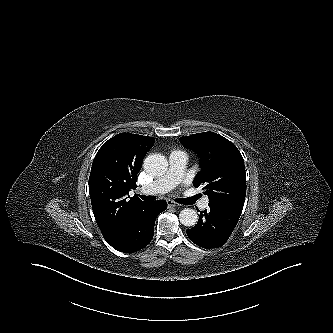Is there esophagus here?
Wrapping results in <instances>:
<instances>
[{
  "mask_svg": "<svg viewBox=\"0 0 333 333\" xmlns=\"http://www.w3.org/2000/svg\"><path fill=\"white\" fill-rule=\"evenodd\" d=\"M167 205L169 208L179 206L177 203L173 202L172 200H167Z\"/></svg>",
  "mask_w": 333,
  "mask_h": 333,
  "instance_id": "esophagus-1",
  "label": "esophagus"
}]
</instances>
